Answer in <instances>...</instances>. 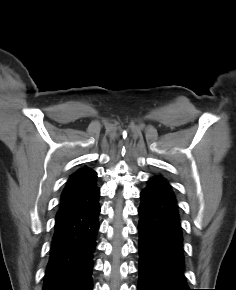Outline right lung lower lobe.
I'll return each mask as SVG.
<instances>
[{"label": "right lung lower lobe", "mask_w": 236, "mask_h": 290, "mask_svg": "<svg viewBox=\"0 0 236 290\" xmlns=\"http://www.w3.org/2000/svg\"><path fill=\"white\" fill-rule=\"evenodd\" d=\"M98 198L99 193L90 203L56 216L43 290H92Z\"/></svg>", "instance_id": "98d812e1"}]
</instances>
